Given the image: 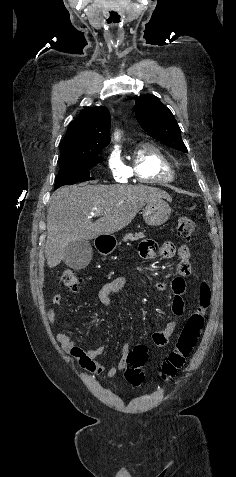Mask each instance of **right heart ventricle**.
I'll return each instance as SVG.
<instances>
[{
  "instance_id": "1",
  "label": "right heart ventricle",
  "mask_w": 236,
  "mask_h": 477,
  "mask_svg": "<svg viewBox=\"0 0 236 477\" xmlns=\"http://www.w3.org/2000/svg\"><path fill=\"white\" fill-rule=\"evenodd\" d=\"M129 175L140 183H168L174 180V169L161 149L146 144L135 151L126 167Z\"/></svg>"
}]
</instances>
